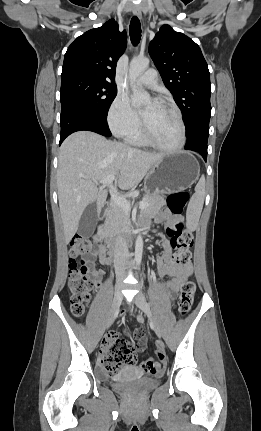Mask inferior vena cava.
<instances>
[{"mask_svg":"<svg viewBox=\"0 0 261 431\" xmlns=\"http://www.w3.org/2000/svg\"><path fill=\"white\" fill-rule=\"evenodd\" d=\"M128 256V247L125 238L119 235L114 243V258L115 260L122 261L115 266V273L117 277L124 276L125 274V263L124 261Z\"/></svg>","mask_w":261,"mask_h":431,"instance_id":"inferior-vena-cava-1","label":"inferior vena cava"}]
</instances>
